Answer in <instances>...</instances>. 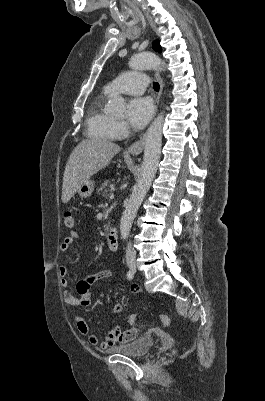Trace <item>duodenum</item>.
<instances>
[{
  "label": "duodenum",
  "instance_id": "410a0bca",
  "mask_svg": "<svg viewBox=\"0 0 265 401\" xmlns=\"http://www.w3.org/2000/svg\"><path fill=\"white\" fill-rule=\"evenodd\" d=\"M107 245L110 250L115 251L118 248V233L116 229L112 228L107 234Z\"/></svg>",
  "mask_w": 265,
  "mask_h": 401
}]
</instances>
